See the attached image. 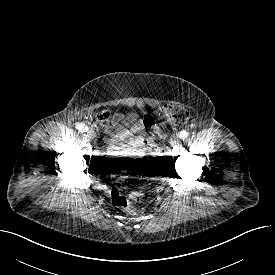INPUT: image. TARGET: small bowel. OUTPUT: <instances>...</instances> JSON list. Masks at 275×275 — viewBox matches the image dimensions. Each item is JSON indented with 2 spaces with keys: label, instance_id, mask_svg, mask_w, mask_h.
I'll use <instances>...</instances> for the list:
<instances>
[{
  "label": "small bowel",
  "instance_id": "obj_1",
  "mask_svg": "<svg viewBox=\"0 0 275 275\" xmlns=\"http://www.w3.org/2000/svg\"><path fill=\"white\" fill-rule=\"evenodd\" d=\"M135 113L116 114L105 132V141L109 145L110 155L139 154L142 151L145 120Z\"/></svg>",
  "mask_w": 275,
  "mask_h": 275
}]
</instances>
